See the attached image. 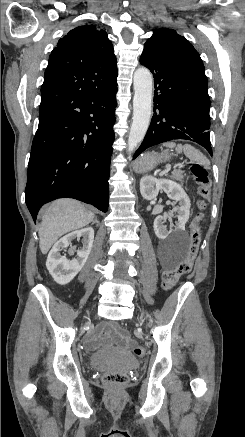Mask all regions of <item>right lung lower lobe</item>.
Returning a JSON list of instances; mask_svg holds the SVG:
<instances>
[{
	"instance_id": "right-lung-lower-lobe-1",
	"label": "right lung lower lobe",
	"mask_w": 245,
	"mask_h": 437,
	"mask_svg": "<svg viewBox=\"0 0 245 437\" xmlns=\"http://www.w3.org/2000/svg\"><path fill=\"white\" fill-rule=\"evenodd\" d=\"M116 93L115 80L91 95L61 101L40 113L25 190L34 221L43 204L62 197L108 210Z\"/></svg>"
}]
</instances>
